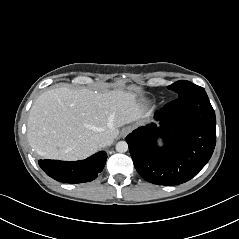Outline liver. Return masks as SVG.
<instances>
[{"instance_id": "6515ba94", "label": "liver", "mask_w": 239, "mask_h": 239, "mask_svg": "<svg viewBox=\"0 0 239 239\" xmlns=\"http://www.w3.org/2000/svg\"><path fill=\"white\" fill-rule=\"evenodd\" d=\"M143 114L136 95L124 90L55 88L42 93L31 107L27 138L43 158L81 160L101 148V138L113 141L119 127Z\"/></svg>"}]
</instances>
